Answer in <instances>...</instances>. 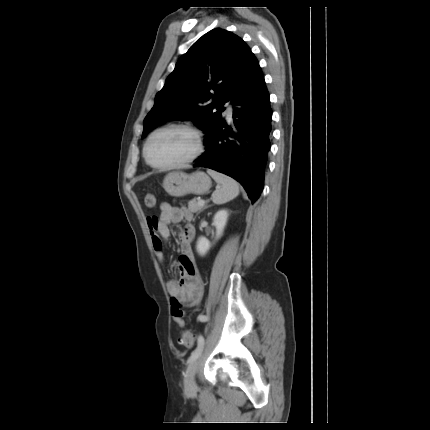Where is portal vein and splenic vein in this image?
<instances>
[{
  "mask_svg": "<svg viewBox=\"0 0 430 430\" xmlns=\"http://www.w3.org/2000/svg\"><path fill=\"white\" fill-rule=\"evenodd\" d=\"M198 204H199L200 206H203V205L205 204V202H204V200H199V201H198Z\"/></svg>",
  "mask_w": 430,
  "mask_h": 430,
  "instance_id": "18ae733b",
  "label": "portal vein and splenic vein"
}]
</instances>
